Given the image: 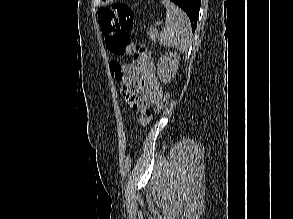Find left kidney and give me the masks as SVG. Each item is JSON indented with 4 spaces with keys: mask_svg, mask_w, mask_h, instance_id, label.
<instances>
[{
    "mask_svg": "<svg viewBox=\"0 0 293 219\" xmlns=\"http://www.w3.org/2000/svg\"><path fill=\"white\" fill-rule=\"evenodd\" d=\"M179 66V55L176 52H167L157 63L158 77L163 83H169L176 75Z\"/></svg>",
    "mask_w": 293,
    "mask_h": 219,
    "instance_id": "left-kidney-1",
    "label": "left kidney"
}]
</instances>
